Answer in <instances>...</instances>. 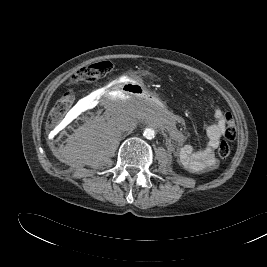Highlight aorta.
Returning a JSON list of instances; mask_svg holds the SVG:
<instances>
[{
	"instance_id": "obj_1",
	"label": "aorta",
	"mask_w": 267,
	"mask_h": 267,
	"mask_svg": "<svg viewBox=\"0 0 267 267\" xmlns=\"http://www.w3.org/2000/svg\"><path fill=\"white\" fill-rule=\"evenodd\" d=\"M143 136L146 139H153L155 137V131H154V129H152V128H146L144 130Z\"/></svg>"
}]
</instances>
